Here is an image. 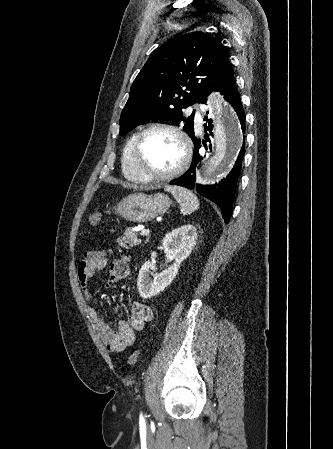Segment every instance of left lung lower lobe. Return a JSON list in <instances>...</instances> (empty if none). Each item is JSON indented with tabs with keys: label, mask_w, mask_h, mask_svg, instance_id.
<instances>
[{
	"label": "left lung lower lobe",
	"mask_w": 333,
	"mask_h": 449,
	"mask_svg": "<svg viewBox=\"0 0 333 449\" xmlns=\"http://www.w3.org/2000/svg\"><path fill=\"white\" fill-rule=\"evenodd\" d=\"M220 93L224 95V98L234 107L236 110L243 132L245 131V113L241 104V99L239 93L236 89L234 74L232 73L220 86ZM208 113V112H207ZM204 121L208 123L205 124V130H208L211 135L213 124L211 119H207L205 116ZM206 141H209V135L205 133ZM194 143V156L192 159V163L188 171L180 176L179 178L170 182L171 185H179L189 189H193L197 186V192L202 196L210 199L215 202L219 208L221 209L223 219L225 223H227L232 215L233 208V200L235 196V190L237 185V180L239 177L243 155L245 153L244 146H242L241 151L238 155L236 163L229 173V175L220 181L218 184H214L213 186H207L202 184H195L196 180V170L199 167L200 162L203 159V156L199 153V149L201 148V141L197 139L195 135L191 138ZM204 144V142H203Z\"/></svg>",
	"instance_id": "obj_1"
}]
</instances>
